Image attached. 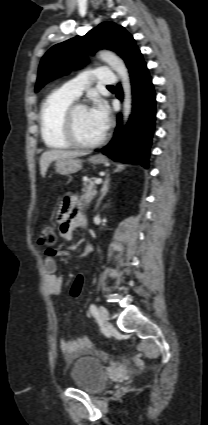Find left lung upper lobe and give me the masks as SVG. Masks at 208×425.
Instances as JSON below:
<instances>
[{"label":"left lung upper lobe","mask_w":208,"mask_h":425,"mask_svg":"<svg viewBox=\"0 0 208 425\" xmlns=\"http://www.w3.org/2000/svg\"><path fill=\"white\" fill-rule=\"evenodd\" d=\"M101 48L116 52L128 68L141 56L132 35L124 27L103 22L85 36L58 43L47 51L39 65L35 91L50 80L69 73L71 67L86 64V54H93Z\"/></svg>","instance_id":"5c2ea615"}]
</instances>
